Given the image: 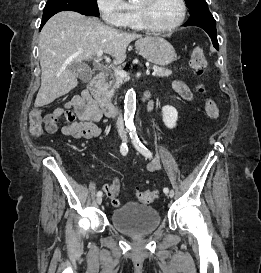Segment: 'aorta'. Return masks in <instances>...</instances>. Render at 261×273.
<instances>
[{"instance_id":"762f6f07","label":"aorta","mask_w":261,"mask_h":273,"mask_svg":"<svg viewBox=\"0 0 261 273\" xmlns=\"http://www.w3.org/2000/svg\"><path fill=\"white\" fill-rule=\"evenodd\" d=\"M132 1V0H129ZM136 110V94L133 89H129L126 92L124 99V120L128 129L134 128V115Z\"/></svg>"}]
</instances>
